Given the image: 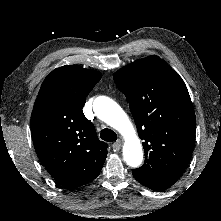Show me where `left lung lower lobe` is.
Masks as SVG:
<instances>
[{
    "mask_svg": "<svg viewBox=\"0 0 221 221\" xmlns=\"http://www.w3.org/2000/svg\"><path fill=\"white\" fill-rule=\"evenodd\" d=\"M140 183L154 191H160L170 187L175 182H140Z\"/></svg>",
    "mask_w": 221,
    "mask_h": 221,
    "instance_id": "1",
    "label": "left lung lower lobe"
}]
</instances>
